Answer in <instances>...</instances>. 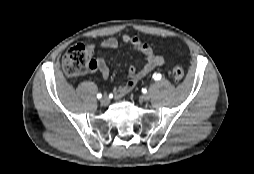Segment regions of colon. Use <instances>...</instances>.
Segmentation results:
<instances>
[{"instance_id":"obj_1","label":"colon","mask_w":254,"mask_h":174,"mask_svg":"<svg viewBox=\"0 0 254 174\" xmlns=\"http://www.w3.org/2000/svg\"><path fill=\"white\" fill-rule=\"evenodd\" d=\"M62 65L69 75H80L91 68V60L88 58L87 48L80 43L72 45L62 58ZM175 82H181L184 71L181 67H174L171 71Z\"/></svg>"}]
</instances>
